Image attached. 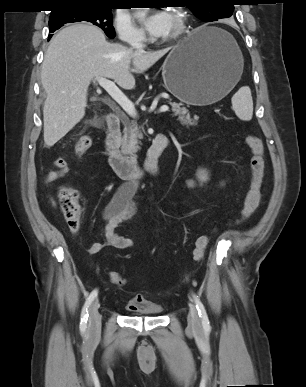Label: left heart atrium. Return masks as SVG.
I'll use <instances>...</instances> for the list:
<instances>
[{
  "mask_svg": "<svg viewBox=\"0 0 306 387\" xmlns=\"http://www.w3.org/2000/svg\"><path fill=\"white\" fill-rule=\"evenodd\" d=\"M144 27L153 37H166L171 31V15L165 11L153 12L144 19Z\"/></svg>",
  "mask_w": 306,
  "mask_h": 387,
  "instance_id": "1",
  "label": "left heart atrium"
}]
</instances>
